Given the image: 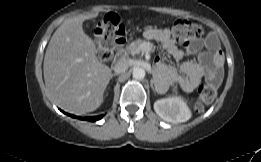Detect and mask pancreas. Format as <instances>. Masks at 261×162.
<instances>
[{"label":"pancreas","mask_w":261,"mask_h":162,"mask_svg":"<svg viewBox=\"0 0 261 162\" xmlns=\"http://www.w3.org/2000/svg\"><path fill=\"white\" fill-rule=\"evenodd\" d=\"M147 42L142 39H136L135 41L131 42L126 48L124 49V53L126 56L128 55H136L139 54L142 50V45L146 44Z\"/></svg>","instance_id":"obj_1"}]
</instances>
